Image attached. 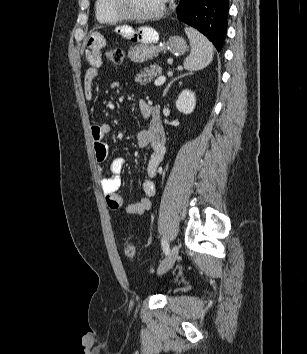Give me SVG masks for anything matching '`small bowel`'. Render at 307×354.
<instances>
[{
	"mask_svg": "<svg viewBox=\"0 0 307 354\" xmlns=\"http://www.w3.org/2000/svg\"><path fill=\"white\" fill-rule=\"evenodd\" d=\"M117 33L121 38H134L137 36V29H118ZM105 46L103 38H91L87 44L85 60L88 68L84 74L83 90L86 99L91 100L94 94V81L99 74L103 60L101 51ZM143 117L148 121L147 127L142 130L137 137L139 147L150 152V157L146 166L148 178L142 182L144 197L138 202L125 207V211L130 215H141L151 208V197L156 193V185L153 178L157 174L158 167L165 155V136L161 125L158 111L149 105L145 100L139 103ZM108 123H99L91 127V138L94 145L95 157L98 163H103L108 156V146L104 138L110 132ZM125 165L123 157H116L111 161L109 173L101 177V187L106 196V202L111 210H118L124 205L123 198L117 193L121 187V173Z\"/></svg>",
	"mask_w": 307,
	"mask_h": 354,
	"instance_id": "1",
	"label": "small bowel"
}]
</instances>
